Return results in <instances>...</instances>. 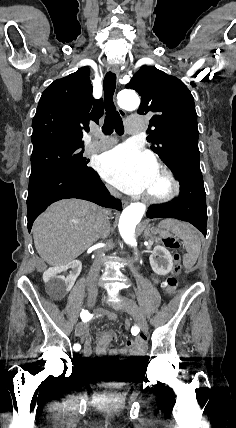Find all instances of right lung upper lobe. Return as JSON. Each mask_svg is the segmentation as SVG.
<instances>
[{"label":"right lung upper lobe","instance_id":"1","mask_svg":"<svg viewBox=\"0 0 236 428\" xmlns=\"http://www.w3.org/2000/svg\"><path fill=\"white\" fill-rule=\"evenodd\" d=\"M89 68L57 79L42 93L33 118V147L54 141H83L89 121L98 123L103 101L92 96Z\"/></svg>","mask_w":236,"mask_h":428}]
</instances>
